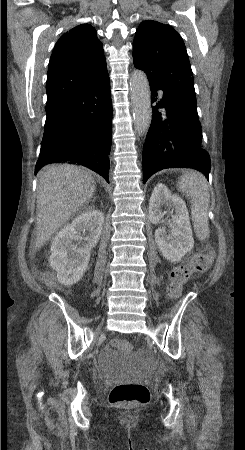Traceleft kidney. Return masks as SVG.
Wrapping results in <instances>:
<instances>
[{"instance_id":"1","label":"left kidney","mask_w":245,"mask_h":450,"mask_svg":"<svg viewBox=\"0 0 245 450\" xmlns=\"http://www.w3.org/2000/svg\"><path fill=\"white\" fill-rule=\"evenodd\" d=\"M162 207L170 211L174 228L171 234H167L165 228H158L155 241L163 257L170 262H178L194 247L188 210L181 198L172 195L165 185L157 184L149 201L151 223L158 224L162 220L165 215Z\"/></svg>"}]
</instances>
